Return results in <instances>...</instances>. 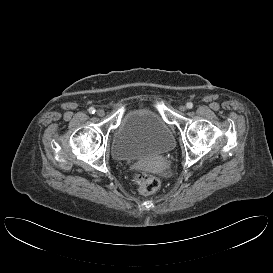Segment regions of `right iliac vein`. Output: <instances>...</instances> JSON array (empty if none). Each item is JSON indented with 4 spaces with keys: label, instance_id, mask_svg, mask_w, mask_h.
<instances>
[{
    "label": "right iliac vein",
    "instance_id": "obj_1",
    "mask_svg": "<svg viewBox=\"0 0 273 273\" xmlns=\"http://www.w3.org/2000/svg\"><path fill=\"white\" fill-rule=\"evenodd\" d=\"M97 115L100 116V117H103V116L105 115L104 110H103V109H99V110L97 111Z\"/></svg>",
    "mask_w": 273,
    "mask_h": 273
}]
</instances>
